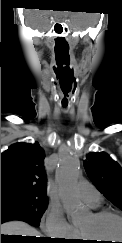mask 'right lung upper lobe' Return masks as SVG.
Returning <instances> with one entry per match:
<instances>
[{
    "mask_svg": "<svg viewBox=\"0 0 122 243\" xmlns=\"http://www.w3.org/2000/svg\"><path fill=\"white\" fill-rule=\"evenodd\" d=\"M44 150L38 143H16L1 154V196L46 197Z\"/></svg>",
    "mask_w": 122,
    "mask_h": 243,
    "instance_id": "1",
    "label": "right lung upper lobe"
}]
</instances>
